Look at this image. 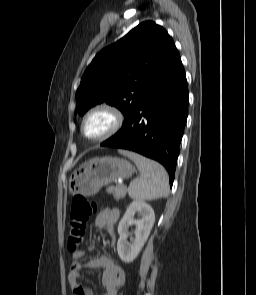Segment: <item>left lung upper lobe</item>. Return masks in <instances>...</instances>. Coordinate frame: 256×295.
<instances>
[{"label": "left lung upper lobe", "instance_id": "left-lung-upper-lobe-1", "mask_svg": "<svg viewBox=\"0 0 256 295\" xmlns=\"http://www.w3.org/2000/svg\"><path fill=\"white\" fill-rule=\"evenodd\" d=\"M180 62L167 31L152 21L143 22L95 56L77 89L75 114L106 102L117 107L126 122Z\"/></svg>", "mask_w": 256, "mask_h": 295}]
</instances>
